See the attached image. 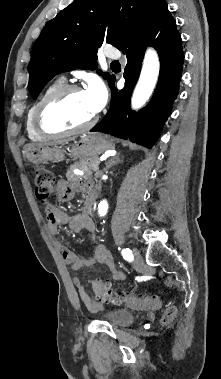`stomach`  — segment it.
I'll return each mask as SVG.
<instances>
[{"mask_svg":"<svg viewBox=\"0 0 221 379\" xmlns=\"http://www.w3.org/2000/svg\"><path fill=\"white\" fill-rule=\"evenodd\" d=\"M114 144L101 134H87L75 141L69 156L73 159H96L107 150L113 149ZM66 151L61 147H49L46 145H27L24 155L33 164H46L48 162H59L65 157Z\"/></svg>","mask_w":221,"mask_h":379,"instance_id":"stomach-1","label":"stomach"}]
</instances>
